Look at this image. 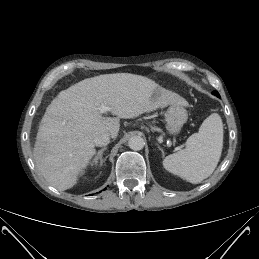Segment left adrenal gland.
Listing matches in <instances>:
<instances>
[{
    "label": "left adrenal gland",
    "mask_w": 259,
    "mask_h": 259,
    "mask_svg": "<svg viewBox=\"0 0 259 259\" xmlns=\"http://www.w3.org/2000/svg\"><path fill=\"white\" fill-rule=\"evenodd\" d=\"M158 148L162 152V154L164 155V151H163V149L159 145H158Z\"/></svg>",
    "instance_id": "1"
}]
</instances>
